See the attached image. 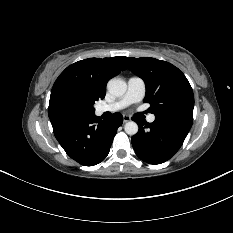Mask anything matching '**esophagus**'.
I'll return each mask as SVG.
<instances>
[{"label": "esophagus", "mask_w": 233, "mask_h": 233, "mask_svg": "<svg viewBox=\"0 0 233 233\" xmlns=\"http://www.w3.org/2000/svg\"><path fill=\"white\" fill-rule=\"evenodd\" d=\"M131 120V117L128 115H123V122L126 123Z\"/></svg>", "instance_id": "1"}]
</instances>
